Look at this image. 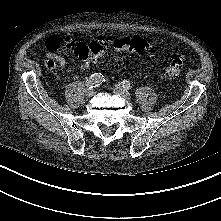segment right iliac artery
Segmentation results:
<instances>
[{"instance_id": "obj_1", "label": "right iliac artery", "mask_w": 221, "mask_h": 221, "mask_svg": "<svg viewBox=\"0 0 221 221\" xmlns=\"http://www.w3.org/2000/svg\"><path fill=\"white\" fill-rule=\"evenodd\" d=\"M104 76L101 73H95L92 74L86 81V86L89 89H92L94 87H97L99 85L102 84V82L104 81Z\"/></svg>"}]
</instances>
